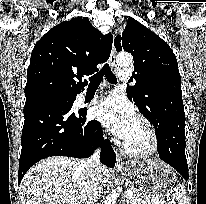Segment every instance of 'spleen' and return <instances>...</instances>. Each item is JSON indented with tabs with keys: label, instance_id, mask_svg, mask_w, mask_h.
<instances>
[{
	"label": "spleen",
	"instance_id": "spleen-1",
	"mask_svg": "<svg viewBox=\"0 0 206 204\" xmlns=\"http://www.w3.org/2000/svg\"><path fill=\"white\" fill-rule=\"evenodd\" d=\"M184 199L185 188L183 185H178L171 190L170 194L167 196V204H183Z\"/></svg>",
	"mask_w": 206,
	"mask_h": 204
}]
</instances>
